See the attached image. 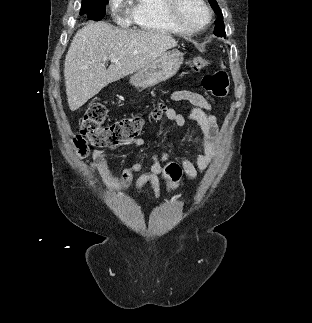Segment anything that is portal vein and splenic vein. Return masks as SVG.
Masks as SVG:
<instances>
[{
	"instance_id": "1",
	"label": "portal vein and splenic vein",
	"mask_w": 312,
	"mask_h": 323,
	"mask_svg": "<svg viewBox=\"0 0 312 323\" xmlns=\"http://www.w3.org/2000/svg\"><path fill=\"white\" fill-rule=\"evenodd\" d=\"M110 62H115V64H117V62H119V60H115V58H110Z\"/></svg>"
}]
</instances>
